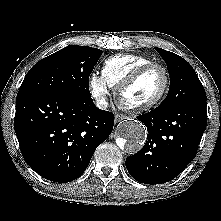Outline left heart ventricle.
<instances>
[{"mask_svg": "<svg viewBox=\"0 0 221 221\" xmlns=\"http://www.w3.org/2000/svg\"><path fill=\"white\" fill-rule=\"evenodd\" d=\"M164 85V74L160 68L147 71L133 86L128 88L123 100L129 104H142L155 98Z\"/></svg>", "mask_w": 221, "mask_h": 221, "instance_id": "obj_1", "label": "left heart ventricle"}]
</instances>
